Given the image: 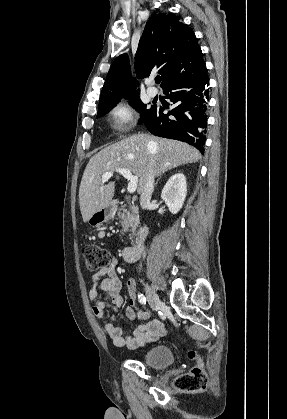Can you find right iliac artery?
I'll use <instances>...</instances> for the list:
<instances>
[{
    "mask_svg": "<svg viewBox=\"0 0 287 419\" xmlns=\"http://www.w3.org/2000/svg\"><path fill=\"white\" fill-rule=\"evenodd\" d=\"M138 300L142 305L146 304V297L143 294H138Z\"/></svg>",
    "mask_w": 287,
    "mask_h": 419,
    "instance_id": "right-iliac-artery-1",
    "label": "right iliac artery"
}]
</instances>
